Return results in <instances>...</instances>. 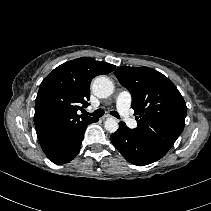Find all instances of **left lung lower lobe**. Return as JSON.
Returning <instances> with one entry per match:
<instances>
[{"label":"left lung lower lobe","instance_id":"obj_1","mask_svg":"<svg viewBox=\"0 0 211 211\" xmlns=\"http://www.w3.org/2000/svg\"><path fill=\"white\" fill-rule=\"evenodd\" d=\"M110 140L128 162L137 166L151 164L165 155L136 129H129L124 122H119V129L110 136Z\"/></svg>","mask_w":211,"mask_h":211}]
</instances>
